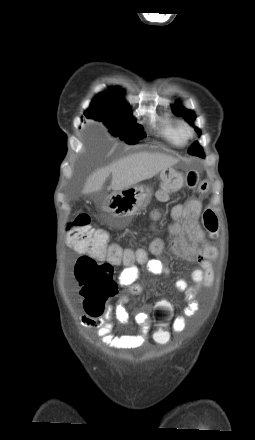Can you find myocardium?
I'll return each mask as SVG.
<instances>
[{
    "label": "myocardium",
    "instance_id": "f54148a6",
    "mask_svg": "<svg viewBox=\"0 0 255 440\" xmlns=\"http://www.w3.org/2000/svg\"><path fill=\"white\" fill-rule=\"evenodd\" d=\"M184 136L185 138H190L193 136V129L190 126L184 127Z\"/></svg>",
    "mask_w": 255,
    "mask_h": 440
}]
</instances>
